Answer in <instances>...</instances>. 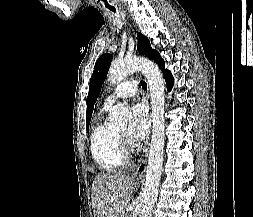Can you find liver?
<instances>
[{"label": "liver", "mask_w": 253, "mask_h": 217, "mask_svg": "<svg viewBox=\"0 0 253 217\" xmlns=\"http://www.w3.org/2000/svg\"><path fill=\"white\" fill-rule=\"evenodd\" d=\"M133 193L130 176L122 173L97 175L91 194L94 217H125Z\"/></svg>", "instance_id": "obj_1"}]
</instances>
